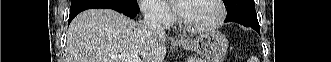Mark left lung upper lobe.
Masks as SVG:
<instances>
[{"mask_svg":"<svg viewBox=\"0 0 331 62\" xmlns=\"http://www.w3.org/2000/svg\"><path fill=\"white\" fill-rule=\"evenodd\" d=\"M227 8L226 20L249 19L257 21L254 0H224Z\"/></svg>","mask_w":331,"mask_h":62,"instance_id":"1","label":"left lung upper lobe"}]
</instances>
